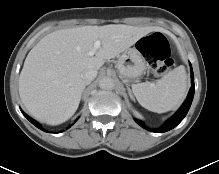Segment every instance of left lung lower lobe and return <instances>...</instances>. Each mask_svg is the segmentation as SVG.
<instances>
[{"instance_id": "obj_1", "label": "left lung lower lobe", "mask_w": 219, "mask_h": 174, "mask_svg": "<svg viewBox=\"0 0 219 174\" xmlns=\"http://www.w3.org/2000/svg\"><path fill=\"white\" fill-rule=\"evenodd\" d=\"M190 66H191V64H190ZM191 78H192V87L189 91V94H188L186 101L181 106V108L177 111V113L173 117H171L169 120H167L162 127L158 128V129H154V130H149V131H153L156 133H163V132L169 131V130L173 129L174 127H176L184 119V117L186 116V114L191 106V103H192V100L194 97L195 87H194V74L192 71V66H191ZM136 122L144 128V124L142 121L136 120Z\"/></svg>"}]
</instances>
